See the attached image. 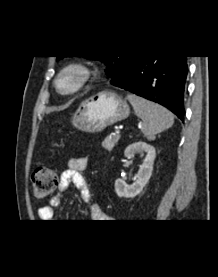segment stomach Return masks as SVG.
Wrapping results in <instances>:
<instances>
[{"label": "stomach", "mask_w": 218, "mask_h": 277, "mask_svg": "<svg viewBox=\"0 0 218 277\" xmlns=\"http://www.w3.org/2000/svg\"><path fill=\"white\" fill-rule=\"evenodd\" d=\"M130 114L126 100L109 91H102L83 101L74 113L72 125L86 133H98Z\"/></svg>", "instance_id": "obj_1"}]
</instances>
